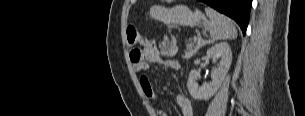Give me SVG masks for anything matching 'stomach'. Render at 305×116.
<instances>
[{
	"label": "stomach",
	"mask_w": 305,
	"mask_h": 116,
	"mask_svg": "<svg viewBox=\"0 0 305 116\" xmlns=\"http://www.w3.org/2000/svg\"><path fill=\"white\" fill-rule=\"evenodd\" d=\"M150 17L157 21L190 27L200 24L204 19L202 13L193 12L185 5H176L172 8L154 5L150 9Z\"/></svg>",
	"instance_id": "1"
}]
</instances>
